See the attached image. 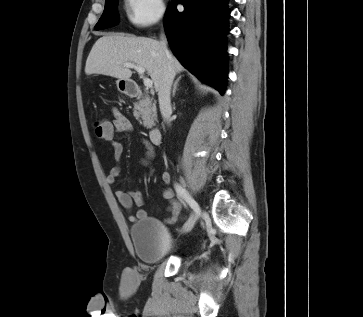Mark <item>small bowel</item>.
Instances as JSON below:
<instances>
[{
	"mask_svg": "<svg viewBox=\"0 0 363 317\" xmlns=\"http://www.w3.org/2000/svg\"><path fill=\"white\" fill-rule=\"evenodd\" d=\"M114 119L108 122V129L102 130L101 132H96V135L102 140L108 142L111 146L115 159L120 160L123 154V144L122 142L115 139L116 133H129L132 130V124L129 119L119 112L117 109L112 110ZM146 149V160L145 164H148L149 160L154 156L153 145L149 141H143ZM120 167L114 166L108 176L107 182L110 185H114L118 176L120 175ZM162 182L166 185L162 192V197L169 201V206L167 211L171 216L166 220L168 223H173L177 220L180 211L181 204L174 198L173 190L168 186L171 181V176L167 171H163L161 175ZM116 199L120 205L127 211H130L133 205L140 206L143 204V195L139 190L129 189V190H117L115 192ZM148 215L145 211L139 210L136 214H129L128 218L131 222L136 221L139 218H146Z\"/></svg>",
	"mask_w": 363,
	"mask_h": 317,
	"instance_id": "small-bowel-1",
	"label": "small bowel"
}]
</instances>
